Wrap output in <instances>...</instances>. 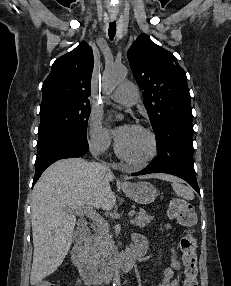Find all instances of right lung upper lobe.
Masks as SVG:
<instances>
[{
    "mask_svg": "<svg viewBox=\"0 0 231 286\" xmlns=\"http://www.w3.org/2000/svg\"><path fill=\"white\" fill-rule=\"evenodd\" d=\"M93 64V52L86 42L59 57L43 83L41 106L55 102L90 104Z\"/></svg>",
    "mask_w": 231,
    "mask_h": 286,
    "instance_id": "right-lung-upper-lobe-1",
    "label": "right lung upper lobe"
}]
</instances>
